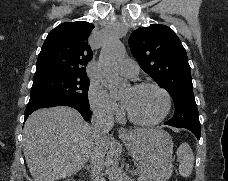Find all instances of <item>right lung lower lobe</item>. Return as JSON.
I'll use <instances>...</instances> for the list:
<instances>
[{"mask_svg":"<svg viewBox=\"0 0 228 181\" xmlns=\"http://www.w3.org/2000/svg\"><path fill=\"white\" fill-rule=\"evenodd\" d=\"M70 106L75 109H77L83 118L87 121L91 117V111L90 109H84L82 107L75 106L71 103L68 102H63V101H46V102H39V103H34V104H28L25 110V118L24 121L27 119V117L35 110L40 109V108H45V107H52V106Z\"/></svg>","mask_w":228,"mask_h":181,"instance_id":"obj_1","label":"right lung lower lobe"}]
</instances>
